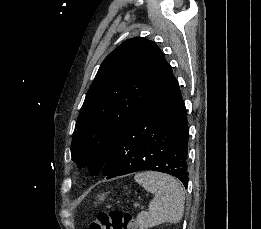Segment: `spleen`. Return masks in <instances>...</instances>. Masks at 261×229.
I'll list each match as a JSON object with an SVG mask.
<instances>
[{
	"label": "spleen",
	"instance_id": "spleen-1",
	"mask_svg": "<svg viewBox=\"0 0 261 229\" xmlns=\"http://www.w3.org/2000/svg\"><path fill=\"white\" fill-rule=\"evenodd\" d=\"M136 183L155 195L148 211L139 213L137 217L140 229H151L162 223H179L184 213V189L171 175L145 171L134 177Z\"/></svg>",
	"mask_w": 261,
	"mask_h": 229
}]
</instances>
